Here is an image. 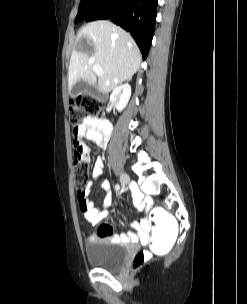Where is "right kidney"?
Returning <instances> with one entry per match:
<instances>
[{"label":"right kidney","mask_w":247,"mask_h":304,"mask_svg":"<svg viewBox=\"0 0 247 304\" xmlns=\"http://www.w3.org/2000/svg\"><path fill=\"white\" fill-rule=\"evenodd\" d=\"M131 96V86L128 83L116 87L110 95V102L121 112L128 104Z\"/></svg>","instance_id":"ca27d5eb"}]
</instances>
